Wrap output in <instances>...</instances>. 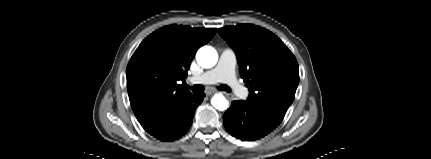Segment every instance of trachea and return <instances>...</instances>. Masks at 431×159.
I'll list each match as a JSON object with an SVG mask.
<instances>
[{"mask_svg": "<svg viewBox=\"0 0 431 159\" xmlns=\"http://www.w3.org/2000/svg\"><path fill=\"white\" fill-rule=\"evenodd\" d=\"M193 93H202L204 91V87L200 84H196L194 86H187ZM219 90L230 92V88L227 85H221L218 87Z\"/></svg>", "mask_w": 431, "mask_h": 159, "instance_id": "3493384b", "label": "trachea"}]
</instances>
